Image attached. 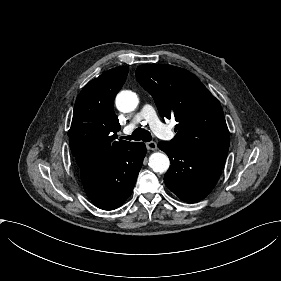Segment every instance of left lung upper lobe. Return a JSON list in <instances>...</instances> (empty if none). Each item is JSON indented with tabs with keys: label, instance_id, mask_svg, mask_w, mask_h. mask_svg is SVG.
I'll use <instances>...</instances> for the list:
<instances>
[{
	"label": "left lung upper lobe",
	"instance_id": "5c2ea615",
	"mask_svg": "<svg viewBox=\"0 0 281 281\" xmlns=\"http://www.w3.org/2000/svg\"><path fill=\"white\" fill-rule=\"evenodd\" d=\"M136 78L161 117L178 122L173 145L188 152L228 153L230 137L220 103L195 75L171 65L144 64Z\"/></svg>",
	"mask_w": 281,
	"mask_h": 281
}]
</instances>
